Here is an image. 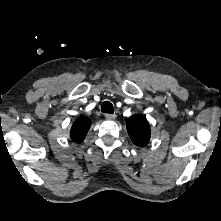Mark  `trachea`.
<instances>
[{"label": "trachea", "instance_id": "trachea-1", "mask_svg": "<svg viewBox=\"0 0 221 221\" xmlns=\"http://www.w3.org/2000/svg\"><path fill=\"white\" fill-rule=\"evenodd\" d=\"M101 111L104 113L112 114L114 113V107L109 101H104L101 105Z\"/></svg>", "mask_w": 221, "mask_h": 221}]
</instances>
